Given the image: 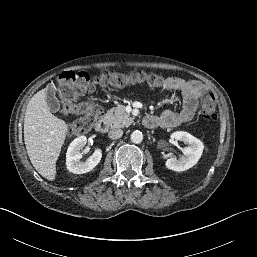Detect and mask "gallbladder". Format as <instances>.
<instances>
[{
  "mask_svg": "<svg viewBox=\"0 0 257 257\" xmlns=\"http://www.w3.org/2000/svg\"><path fill=\"white\" fill-rule=\"evenodd\" d=\"M46 102L51 112L57 113L60 111V102L55 96V89L53 86L47 88Z\"/></svg>",
  "mask_w": 257,
  "mask_h": 257,
  "instance_id": "gallbladder-1",
  "label": "gallbladder"
}]
</instances>
